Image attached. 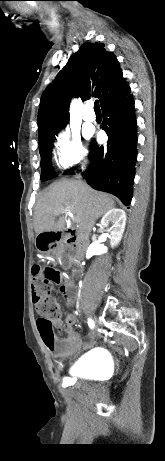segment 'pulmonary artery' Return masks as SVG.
Listing matches in <instances>:
<instances>
[{
  "instance_id": "e3ab8cb5",
  "label": "pulmonary artery",
  "mask_w": 165,
  "mask_h": 461,
  "mask_svg": "<svg viewBox=\"0 0 165 461\" xmlns=\"http://www.w3.org/2000/svg\"><path fill=\"white\" fill-rule=\"evenodd\" d=\"M82 118L87 122H93L95 120V114L91 112L90 107L86 106L82 112Z\"/></svg>"
}]
</instances>
